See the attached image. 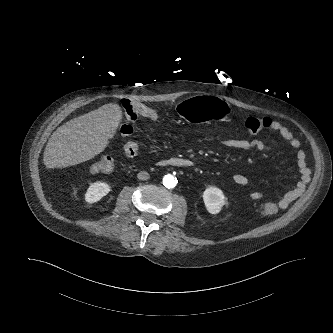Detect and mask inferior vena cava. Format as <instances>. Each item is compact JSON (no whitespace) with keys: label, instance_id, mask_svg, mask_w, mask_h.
Here are the masks:
<instances>
[{"label":"inferior vena cava","instance_id":"1","mask_svg":"<svg viewBox=\"0 0 333 333\" xmlns=\"http://www.w3.org/2000/svg\"><path fill=\"white\" fill-rule=\"evenodd\" d=\"M139 180H148L150 178V175L146 171H140L137 175Z\"/></svg>","mask_w":333,"mask_h":333}]
</instances>
